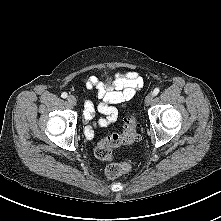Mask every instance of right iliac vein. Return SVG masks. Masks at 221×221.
<instances>
[{"label": "right iliac vein", "instance_id": "obj_1", "mask_svg": "<svg viewBox=\"0 0 221 221\" xmlns=\"http://www.w3.org/2000/svg\"><path fill=\"white\" fill-rule=\"evenodd\" d=\"M67 100L73 106H75L77 104V100L73 95L68 96Z\"/></svg>", "mask_w": 221, "mask_h": 221}]
</instances>
